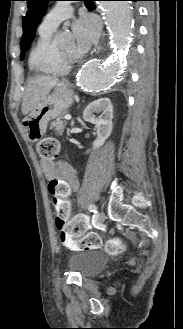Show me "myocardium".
Listing matches in <instances>:
<instances>
[{
    "mask_svg": "<svg viewBox=\"0 0 183 329\" xmlns=\"http://www.w3.org/2000/svg\"><path fill=\"white\" fill-rule=\"evenodd\" d=\"M82 60V54L78 52L73 57H67L61 50H58V62L60 68L66 73Z\"/></svg>",
    "mask_w": 183,
    "mask_h": 329,
    "instance_id": "myocardium-1",
    "label": "myocardium"
}]
</instances>
